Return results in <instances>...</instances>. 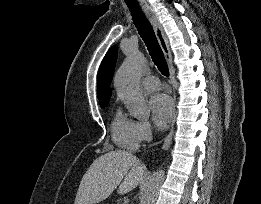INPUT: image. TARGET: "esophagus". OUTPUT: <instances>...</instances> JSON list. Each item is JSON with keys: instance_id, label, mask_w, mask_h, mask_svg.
<instances>
[{"instance_id": "obj_1", "label": "esophagus", "mask_w": 261, "mask_h": 204, "mask_svg": "<svg viewBox=\"0 0 261 204\" xmlns=\"http://www.w3.org/2000/svg\"><path fill=\"white\" fill-rule=\"evenodd\" d=\"M142 9H143L145 15L147 16L148 20L150 21L151 25L153 26L158 43L163 51V54L165 56L167 63L169 65L171 78H172V80H174L175 69H174L173 63H172V55H171V51L169 48L167 37L159 22V19H158L156 13L153 11V9L149 5H147V4L142 5ZM173 133H174V130L172 128L163 142V145H162L163 150H167L170 147V145L172 143Z\"/></svg>"}]
</instances>
